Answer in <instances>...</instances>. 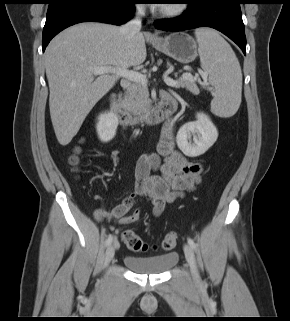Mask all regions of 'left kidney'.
<instances>
[{
    "mask_svg": "<svg viewBox=\"0 0 290 321\" xmlns=\"http://www.w3.org/2000/svg\"><path fill=\"white\" fill-rule=\"evenodd\" d=\"M193 136V143L191 137ZM218 131L210 118L197 113L196 121L184 124L178 131L176 142L179 149L189 157L204 154L217 140Z\"/></svg>",
    "mask_w": 290,
    "mask_h": 321,
    "instance_id": "5707ae66",
    "label": "left kidney"
}]
</instances>
